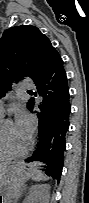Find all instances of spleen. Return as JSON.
I'll list each match as a JSON object with an SVG mask.
<instances>
[{"label": "spleen", "instance_id": "1", "mask_svg": "<svg viewBox=\"0 0 89 203\" xmlns=\"http://www.w3.org/2000/svg\"><path fill=\"white\" fill-rule=\"evenodd\" d=\"M27 177L31 178L32 180L36 182L40 181H46L49 180L50 178L46 176L38 166H34L28 170Z\"/></svg>", "mask_w": 89, "mask_h": 203}]
</instances>
